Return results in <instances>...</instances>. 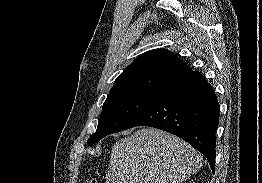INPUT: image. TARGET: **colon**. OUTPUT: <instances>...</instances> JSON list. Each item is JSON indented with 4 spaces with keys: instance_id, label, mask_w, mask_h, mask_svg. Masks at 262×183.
I'll list each match as a JSON object with an SVG mask.
<instances>
[{
    "instance_id": "obj_1",
    "label": "colon",
    "mask_w": 262,
    "mask_h": 183,
    "mask_svg": "<svg viewBox=\"0 0 262 183\" xmlns=\"http://www.w3.org/2000/svg\"><path fill=\"white\" fill-rule=\"evenodd\" d=\"M86 183H99L98 181L94 180V179H90V180H87Z\"/></svg>"
}]
</instances>
